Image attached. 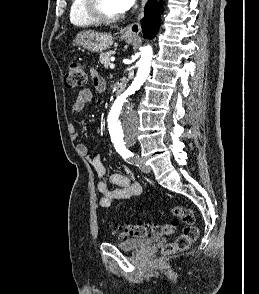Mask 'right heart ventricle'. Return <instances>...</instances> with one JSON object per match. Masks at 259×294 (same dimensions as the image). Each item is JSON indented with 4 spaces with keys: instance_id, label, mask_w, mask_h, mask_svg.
<instances>
[{
    "instance_id": "obj_1",
    "label": "right heart ventricle",
    "mask_w": 259,
    "mask_h": 294,
    "mask_svg": "<svg viewBox=\"0 0 259 294\" xmlns=\"http://www.w3.org/2000/svg\"><path fill=\"white\" fill-rule=\"evenodd\" d=\"M69 18L76 27H87L96 23L85 11V0H72Z\"/></svg>"
}]
</instances>
